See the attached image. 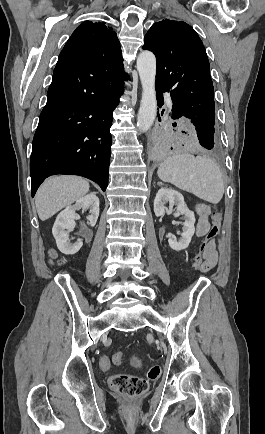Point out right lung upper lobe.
Segmentation results:
<instances>
[{"instance_id": "obj_1", "label": "right lung upper lobe", "mask_w": 265, "mask_h": 434, "mask_svg": "<svg viewBox=\"0 0 265 434\" xmlns=\"http://www.w3.org/2000/svg\"><path fill=\"white\" fill-rule=\"evenodd\" d=\"M121 48L112 27L103 21H86L73 32L59 59H107L120 56Z\"/></svg>"}]
</instances>
